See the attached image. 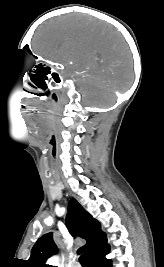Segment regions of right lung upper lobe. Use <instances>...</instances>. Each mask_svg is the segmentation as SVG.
I'll use <instances>...</instances> for the list:
<instances>
[{"label": "right lung upper lobe", "instance_id": "right-lung-upper-lobe-1", "mask_svg": "<svg viewBox=\"0 0 164 267\" xmlns=\"http://www.w3.org/2000/svg\"><path fill=\"white\" fill-rule=\"evenodd\" d=\"M66 224L73 236H80L87 241L79 249V252L85 251L88 260L110 248L99 222L74 198H71L69 202ZM56 252L57 246L53 241L52 233L49 232L38 239L33 246L28 265L30 267H47L46 260Z\"/></svg>", "mask_w": 164, "mask_h": 267}]
</instances>
